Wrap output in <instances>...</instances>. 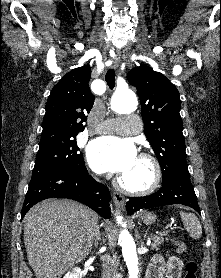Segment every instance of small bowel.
Segmentation results:
<instances>
[{
	"mask_svg": "<svg viewBox=\"0 0 221 278\" xmlns=\"http://www.w3.org/2000/svg\"><path fill=\"white\" fill-rule=\"evenodd\" d=\"M183 263L180 258L171 256L165 260L155 256L149 265L145 278H180Z\"/></svg>",
	"mask_w": 221,
	"mask_h": 278,
	"instance_id": "c3829d8e",
	"label": "small bowel"
}]
</instances>
